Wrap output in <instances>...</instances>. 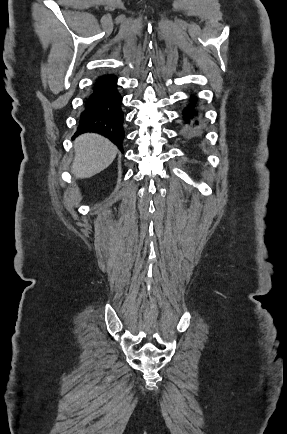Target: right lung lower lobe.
I'll list each match as a JSON object with an SVG mask.
<instances>
[{"mask_svg":"<svg viewBox=\"0 0 287 434\" xmlns=\"http://www.w3.org/2000/svg\"><path fill=\"white\" fill-rule=\"evenodd\" d=\"M122 96L117 90V78L106 74L93 84L91 94L85 99L75 135L94 132L110 139L122 150L125 133Z\"/></svg>","mask_w":287,"mask_h":434,"instance_id":"1","label":"right lung lower lobe"}]
</instances>
